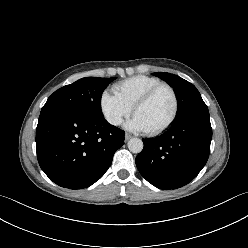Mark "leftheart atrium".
Returning <instances> with one entry per match:
<instances>
[{
  "label": "left heart atrium",
  "instance_id": "39dd6f15",
  "mask_svg": "<svg viewBox=\"0 0 248 248\" xmlns=\"http://www.w3.org/2000/svg\"><path fill=\"white\" fill-rule=\"evenodd\" d=\"M126 128L133 130V131H141V132H146V128L140 121V119L137 116H134L132 119H130L126 123Z\"/></svg>",
  "mask_w": 248,
  "mask_h": 248
}]
</instances>
